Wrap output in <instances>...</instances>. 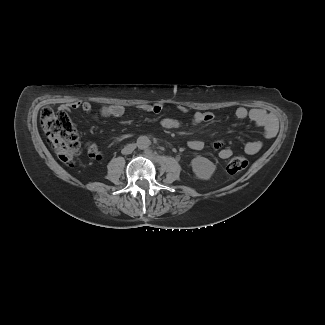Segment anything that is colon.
<instances>
[{
	"mask_svg": "<svg viewBox=\"0 0 325 325\" xmlns=\"http://www.w3.org/2000/svg\"><path fill=\"white\" fill-rule=\"evenodd\" d=\"M40 123L47 141L57 157L66 165H72L80 153V142L76 132L66 129L59 116L50 107L40 111ZM248 166V161L243 156L233 157L227 171L236 174Z\"/></svg>",
	"mask_w": 325,
	"mask_h": 325,
	"instance_id": "5ec220e1",
	"label": "colon"
}]
</instances>
